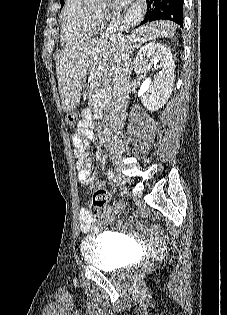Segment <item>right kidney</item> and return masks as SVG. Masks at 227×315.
<instances>
[{
    "label": "right kidney",
    "instance_id": "ca27d5eb",
    "mask_svg": "<svg viewBox=\"0 0 227 315\" xmlns=\"http://www.w3.org/2000/svg\"><path fill=\"white\" fill-rule=\"evenodd\" d=\"M137 74H146L154 64L156 75L148 81L150 94H139L142 104L151 112L162 108L170 98L175 79V64L169 48L150 42L137 52L134 60Z\"/></svg>",
    "mask_w": 227,
    "mask_h": 315
}]
</instances>
